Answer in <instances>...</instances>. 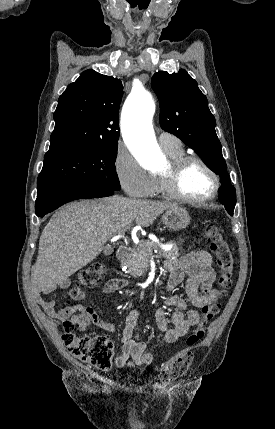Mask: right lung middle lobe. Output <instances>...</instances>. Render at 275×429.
Instances as JSON below:
<instances>
[{"instance_id":"right-lung-middle-lobe-1","label":"right lung middle lobe","mask_w":275,"mask_h":429,"mask_svg":"<svg viewBox=\"0 0 275 429\" xmlns=\"http://www.w3.org/2000/svg\"><path fill=\"white\" fill-rule=\"evenodd\" d=\"M117 147L118 144L66 146L48 151L37 180V197L81 184L120 190L114 164Z\"/></svg>"}]
</instances>
